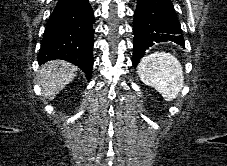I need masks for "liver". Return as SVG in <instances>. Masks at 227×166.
<instances>
[{
  "instance_id": "obj_1",
  "label": "liver",
  "mask_w": 227,
  "mask_h": 166,
  "mask_svg": "<svg viewBox=\"0 0 227 166\" xmlns=\"http://www.w3.org/2000/svg\"><path fill=\"white\" fill-rule=\"evenodd\" d=\"M78 68L64 60L48 61L40 68L39 84L43 95L54 99L76 76Z\"/></svg>"
}]
</instances>
